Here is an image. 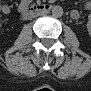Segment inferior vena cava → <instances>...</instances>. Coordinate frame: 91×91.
Returning <instances> with one entry per match:
<instances>
[{
  "label": "inferior vena cava",
  "instance_id": "602c4592",
  "mask_svg": "<svg viewBox=\"0 0 91 91\" xmlns=\"http://www.w3.org/2000/svg\"><path fill=\"white\" fill-rule=\"evenodd\" d=\"M47 11H45V10H37V11H34V12H32V17H34V18H38V17H45V16H47Z\"/></svg>",
  "mask_w": 91,
  "mask_h": 91
}]
</instances>
